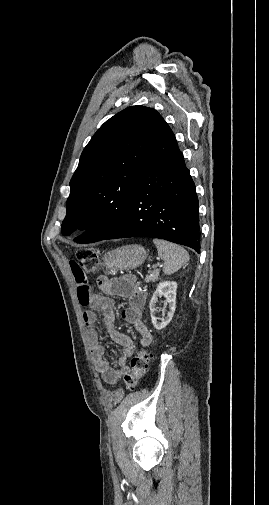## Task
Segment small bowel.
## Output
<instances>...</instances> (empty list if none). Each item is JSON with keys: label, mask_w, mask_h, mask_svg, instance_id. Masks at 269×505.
I'll list each match as a JSON object with an SVG mask.
<instances>
[{"label": "small bowel", "mask_w": 269, "mask_h": 505, "mask_svg": "<svg viewBox=\"0 0 269 505\" xmlns=\"http://www.w3.org/2000/svg\"><path fill=\"white\" fill-rule=\"evenodd\" d=\"M69 265L77 284L79 302L83 307H90V309H84L82 315L96 370L104 382L115 384L121 376L129 371L127 363L129 357L133 354L135 344L129 335L121 333L115 328L113 297L118 296L128 300V306L123 310L122 318L140 335L141 345L149 346L153 341V335L143 321V308L147 293L133 275H125L115 279L99 278L100 272L85 274L83 268H80L78 260H71ZM88 279H98L97 285L104 292V295L91 294ZM94 311L102 313L103 322L108 333L121 347L117 367H112L104 358L106 347L100 342L95 329L96 316Z\"/></svg>", "instance_id": "c3829d8e"}]
</instances>
